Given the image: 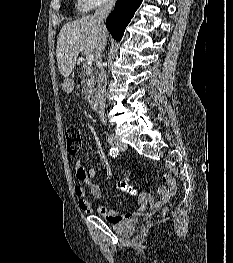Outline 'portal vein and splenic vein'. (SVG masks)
Masks as SVG:
<instances>
[{"mask_svg": "<svg viewBox=\"0 0 233 263\" xmlns=\"http://www.w3.org/2000/svg\"><path fill=\"white\" fill-rule=\"evenodd\" d=\"M93 61H94V55L93 54L86 55V62L88 64L92 63Z\"/></svg>", "mask_w": 233, "mask_h": 263, "instance_id": "1", "label": "portal vein and splenic vein"}]
</instances>
